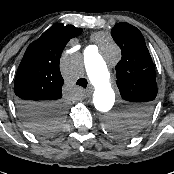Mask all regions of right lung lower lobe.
<instances>
[{
  "label": "right lung lower lobe",
  "instance_id": "1",
  "mask_svg": "<svg viewBox=\"0 0 174 174\" xmlns=\"http://www.w3.org/2000/svg\"><path fill=\"white\" fill-rule=\"evenodd\" d=\"M16 105L21 117L26 121V118L32 117L36 113L45 112L54 108L58 109L61 106V103L48 104L37 101L16 100Z\"/></svg>",
  "mask_w": 174,
  "mask_h": 174
}]
</instances>
